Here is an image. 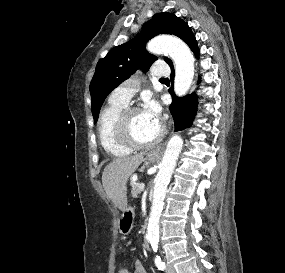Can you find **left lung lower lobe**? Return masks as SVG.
<instances>
[{"instance_id": "obj_1", "label": "left lung lower lobe", "mask_w": 285, "mask_h": 273, "mask_svg": "<svg viewBox=\"0 0 285 273\" xmlns=\"http://www.w3.org/2000/svg\"><path fill=\"white\" fill-rule=\"evenodd\" d=\"M186 43L194 52V54L198 56L199 50L197 47L196 39L193 34L187 39ZM170 67L172 69L171 81H173V64H170ZM170 93L173 94V91H170ZM196 108L197 97L194 93L181 98L173 94L172 104L169 106V110L174 118L175 131H180L191 126L196 114Z\"/></svg>"}]
</instances>
